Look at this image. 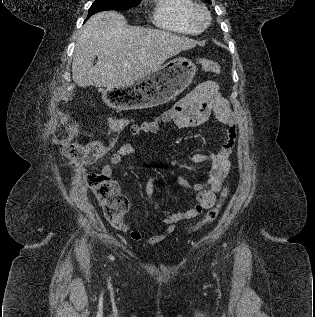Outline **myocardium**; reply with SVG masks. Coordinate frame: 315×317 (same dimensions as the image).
Segmentation results:
<instances>
[{"instance_id":"obj_1","label":"myocardium","mask_w":315,"mask_h":317,"mask_svg":"<svg viewBox=\"0 0 315 317\" xmlns=\"http://www.w3.org/2000/svg\"><path fill=\"white\" fill-rule=\"evenodd\" d=\"M191 23L198 29H206L211 22V15L206 6L202 4H194L189 13Z\"/></svg>"}]
</instances>
